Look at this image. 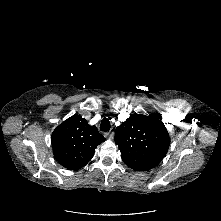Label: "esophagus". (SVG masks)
Returning a JSON list of instances; mask_svg holds the SVG:
<instances>
[{
  "instance_id": "1",
  "label": "esophagus",
  "mask_w": 221,
  "mask_h": 221,
  "mask_svg": "<svg viewBox=\"0 0 221 221\" xmlns=\"http://www.w3.org/2000/svg\"><path fill=\"white\" fill-rule=\"evenodd\" d=\"M104 136H105L106 138H108V139H112L113 136H114V133H113L112 131H109V132H106V133L104 134Z\"/></svg>"
}]
</instances>
